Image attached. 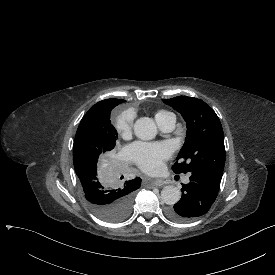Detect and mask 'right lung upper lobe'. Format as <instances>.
<instances>
[{
	"label": "right lung upper lobe",
	"mask_w": 275,
	"mask_h": 275,
	"mask_svg": "<svg viewBox=\"0 0 275 275\" xmlns=\"http://www.w3.org/2000/svg\"><path fill=\"white\" fill-rule=\"evenodd\" d=\"M125 100L121 99H106L96 103L90 110L86 113L87 115H103L117 106L118 104L124 102Z\"/></svg>",
	"instance_id": "right-lung-upper-lobe-1"
}]
</instances>
